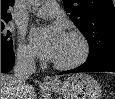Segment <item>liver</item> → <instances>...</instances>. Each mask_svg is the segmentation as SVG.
Wrapping results in <instances>:
<instances>
[{
  "instance_id": "1",
  "label": "liver",
  "mask_w": 115,
  "mask_h": 99,
  "mask_svg": "<svg viewBox=\"0 0 115 99\" xmlns=\"http://www.w3.org/2000/svg\"><path fill=\"white\" fill-rule=\"evenodd\" d=\"M23 99H36L33 86L27 85ZM13 82V76L1 73V99H18Z\"/></svg>"
}]
</instances>
